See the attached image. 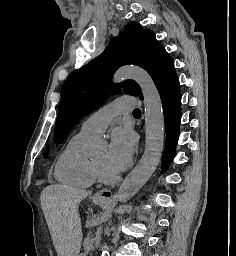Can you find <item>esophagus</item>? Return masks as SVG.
Instances as JSON below:
<instances>
[{"instance_id":"obj_1","label":"esophagus","mask_w":236,"mask_h":256,"mask_svg":"<svg viewBox=\"0 0 236 256\" xmlns=\"http://www.w3.org/2000/svg\"><path fill=\"white\" fill-rule=\"evenodd\" d=\"M113 196L111 190H109L108 188H103L99 191H97L93 198L95 199H99V200H110V198Z\"/></svg>"}]
</instances>
